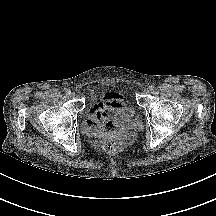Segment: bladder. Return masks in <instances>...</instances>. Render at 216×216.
Returning a JSON list of instances; mask_svg holds the SVG:
<instances>
[{
    "mask_svg": "<svg viewBox=\"0 0 216 216\" xmlns=\"http://www.w3.org/2000/svg\"><path fill=\"white\" fill-rule=\"evenodd\" d=\"M116 128L130 129L140 128L141 124L134 110H128L126 114L118 115L115 120Z\"/></svg>",
    "mask_w": 216,
    "mask_h": 216,
    "instance_id": "31cf9c89",
    "label": "bladder"
}]
</instances>
